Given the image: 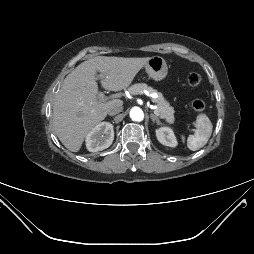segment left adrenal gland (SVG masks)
Returning a JSON list of instances; mask_svg holds the SVG:
<instances>
[{
    "instance_id": "1",
    "label": "left adrenal gland",
    "mask_w": 254,
    "mask_h": 254,
    "mask_svg": "<svg viewBox=\"0 0 254 254\" xmlns=\"http://www.w3.org/2000/svg\"><path fill=\"white\" fill-rule=\"evenodd\" d=\"M150 118H151V120H152V122H153V123H155V122H156L158 125H160V124H161V122H160L159 118H158L156 115L151 114V115H150Z\"/></svg>"
}]
</instances>
